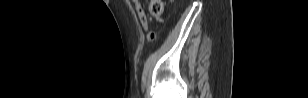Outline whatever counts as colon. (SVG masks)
<instances>
[{
    "instance_id": "1",
    "label": "colon",
    "mask_w": 308,
    "mask_h": 98,
    "mask_svg": "<svg viewBox=\"0 0 308 98\" xmlns=\"http://www.w3.org/2000/svg\"><path fill=\"white\" fill-rule=\"evenodd\" d=\"M149 11L152 16L159 17L163 13V3L160 0H152L150 2ZM148 38L153 40L155 38V34L153 32L149 33Z\"/></svg>"
}]
</instances>
